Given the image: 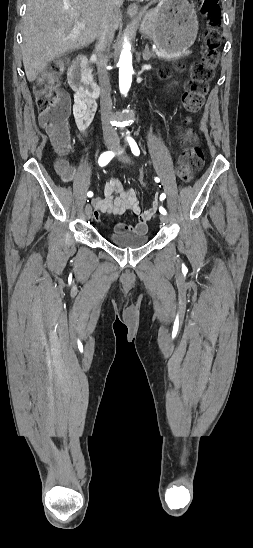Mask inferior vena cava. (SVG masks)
Instances as JSON below:
<instances>
[{"instance_id":"1","label":"inferior vena cava","mask_w":253,"mask_h":548,"mask_svg":"<svg viewBox=\"0 0 253 548\" xmlns=\"http://www.w3.org/2000/svg\"><path fill=\"white\" fill-rule=\"evenodd\" d=\"M124 0H106V14L104 20L100 26L98 34V43L96 44V52L98 53L97 69H98V78L101 89L100 105L101 109L104 112L101 114V121L103 127V136L104 139L118 141V134L116 131V126L112 120L116 117L114 114L111 116L112 111V100L110 97V80L107 72V63L108 58L104 55V52L108 50V47L113 41L114 38V28L111 24V17L114 14L115 10L120 8ZM113 118V119H112Z\"/></svg>"}]
</instances>
